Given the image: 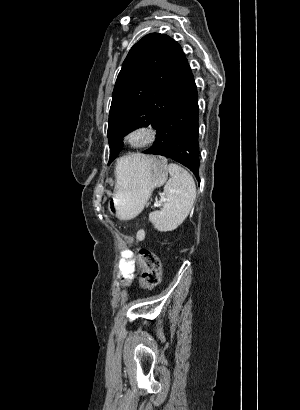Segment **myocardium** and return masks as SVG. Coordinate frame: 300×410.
<instances>
[{
  "mask_svg": "<svg viewBox=\"0 0 300 410\" xmlns=\"http://www.w3.org/2000/svg\"><path fill=\"white\" fill-rule=\"evenodd\" d=\"M138 137L139 140L133 141ZM159 137L158 130L149 124H143L130 129L123 137L124 144L131 149H144L154 145Z\"/></svg>",
  "mask_w": 300,
  "mask_h": 410,
  "instance_id": "obj_1",
  "label": "myocardium"
}]
</instances>
